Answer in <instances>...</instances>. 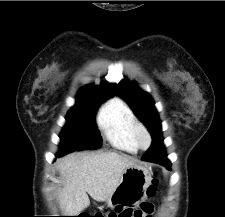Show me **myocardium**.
<instances>
[{
    "label": "myocardium",
    "instance_id": "1",
    "mask_svg": "<svg viewBox=\"0 0 225 217\" xmlns=\"http://www.w3.org/2000/svg\"><path fill=\"white\" fill-rule=\"evenodd\" d=\"M134 140L141 149H147L152 143V137L149 130L141 123H136L133 130ZM145 138V142H143Z\"/></svg>",
    "mask_w": 225,
    "mask_h": 217
}]
</instances>
